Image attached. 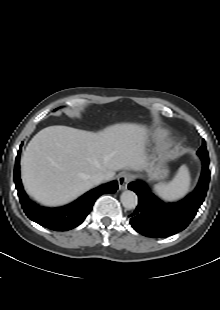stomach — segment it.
<instances>
[{
	"label": "stomach",
	"instance_id": "1",
	"mask_svg": "<svg viewBox=\"0 0 220 310\" xmlns=\"http://www.w3.org/2000/svg\"><path fill=\"white\" fill-rule=\"evenodd\" d=\"M147 172L149 176L154 180H162L168 175V170L166 166L160 161L151 163L147 168Z\"/></svg>",
	"mask_w": 220,
	"mask_h": 310
}]
</instances>
